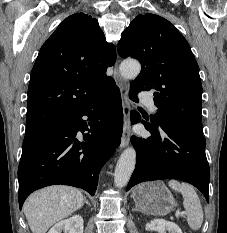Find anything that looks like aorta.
<instances>
[{
  "instance_id": "obj_1",
  "label": "aorta",
  "mask_w": 227,
  "mask_h": 233,
  "mask_svg": "<svg viewBox=\"0 0 227 233\" xmlns=\"http://www.w3.org/2000/svg\"><path fill=\"white\" fill-rule=\"evenodd\" d=\"M120 73L124 78L132 79L139 75L141 65L135 60H125L119 67ZM136 164V151L130 147L123 151L121 154L114 172V183L118 188L124 187L135 168Z\"/></svg>"
}]
</instances>
